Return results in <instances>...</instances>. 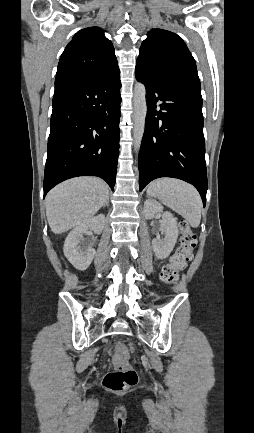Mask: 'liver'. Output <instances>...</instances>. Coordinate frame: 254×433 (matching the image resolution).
Wrapping results in <instances>:
<instances>
[{"label": "liver", "mask_w": 254, "mask_h": 433, "mask_svg": "<svg viewBox=\"0 0 254 433\" xmlns=\"http://www.w3.org/2000/svg\"><path fill=\"white\" fill-rule=\"evenodd\" d=\"M108 186L95 177H78L53 188L46 196V216L55 234L80 225L95 215L109 197Z\"/></svg>", "instance_id": "1"}]
</instances>
